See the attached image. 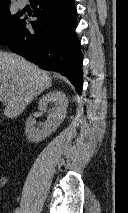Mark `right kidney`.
<instances>
[{
  "mask_svg": "<svg viewBox=\"0 0 128 213\" xmlns=\"http://www.w3.org/2000/svg\"><path fill=\"white\" fill-rule=\"evenodd\" d=\"M52 103V109L49 111L48 117L42 129L35 128V119L31 116L26 122L27 139L34 143H39L52 134L63 122L68 107V99L62 91H50L44 95L38 103L40 111H46L48 104Z\"/></svg>",
  "mask_w": 128,
  "mask_h": 213,
  "instance_id": "ca27d5eb",
  "label": "right kidney"
}]
</instances>
